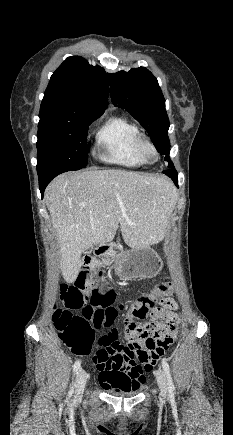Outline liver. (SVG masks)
Masks as SVG:
<instances>
[{"mask_svg": "<svg viewBox=\"0 0 233 435\" xmlns=\"http://www.w3.org/2000/svg\"><path fill=\"white\" fill-rule=\"evenodd\" d=\"M177 200L173 183L160 175L108 169L56 177L46 188L45 202L58 235L65 281L77 278L81 254L112 241L119 224L131 248L160 242Z\"/></svg>", "mask_w": 233, "mask_h": 435, "instance_id": "liver-1", "label": "liver"}]
</instances>
